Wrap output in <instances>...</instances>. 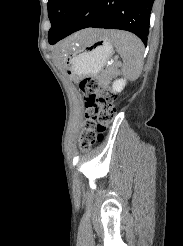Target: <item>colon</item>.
<instances>
[{
    "label": "colon",
    "mask_w": 183,
    "mask_h": 246,
    "mask_svg": "<svg viewBox=\"0 0 183 246\" xmlns=\"http://www.w3.org/2000/svg\"><path fill=\"white\" fill-rule=\"evenodd\" d=\"M84 101V123L80 134L79 146L87 151L102 138L107 126L113 121L116 110L113 106L114 94L94 78H84L80 82Z\"/></svg>",
    "instance_id": "colon-1"
}]
</instances>
